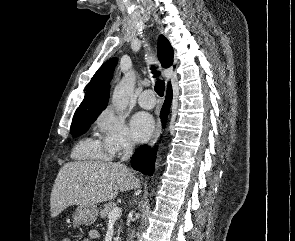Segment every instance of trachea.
I'll return each mask as SVG.
<instances>
[{"instance_id":"3493384b","label":"trachea","mask_w":295,"mask_h":241,"mask_svg":"<svg viewBox=\"0 0 295 241\" xmlns=\"http://www.w3.org/2000/svg\"><path fill=\"white\" fill-rule=\"evenodd\" d=\"M151 70H152V73L154 74V77H157L159 75V72L155 70V67H151ZM154 89H155V92L162 97L164 95V89H165L164 81L162 80L156 81Z\"/></svg>"}]
</instances>
